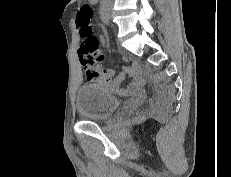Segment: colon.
<instances>
[{
    "label": "colon",
    "mask_w": 231,
    "mask_h": 177,
    "mask_svg": "<svg viewBox=\"0 0 231 177\" xmlns=\"http://www.w3.org/2000/svg\"><path fill=\"white\" fill-rule=\"evenodd\" d=\"M93 15L92 7L89 4H83L77 18V24L82 37V44L79 48V58L81 64L87 69V73L94 74L90 68H94L96 61L101 57L98 54L99 42L94 36L91 27V18Z\"/></svg>",
    "instance_id": "colon-1"
}]
</instances>
